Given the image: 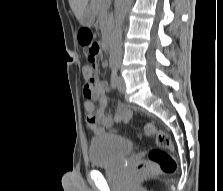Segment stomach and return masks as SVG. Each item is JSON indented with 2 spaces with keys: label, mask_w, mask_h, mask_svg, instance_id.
<instances>
[{
  "label": "stomach",
  "mask_w": 223,
  "mask_h": 191,
  "mask_svg": "<svg viewBox=\"0 0 223 191\" xmlns=\"http://www.w3.org/2000/svg\"><path fill=\"white\" fill-rule=\"evenodd\" d=\"M95 20L94 12L91 10V8L87 7V9L83 12L80 23L84 26H90L93 24Z\"/></svg>",
  "instance_id": "1"
}]
</instances>
